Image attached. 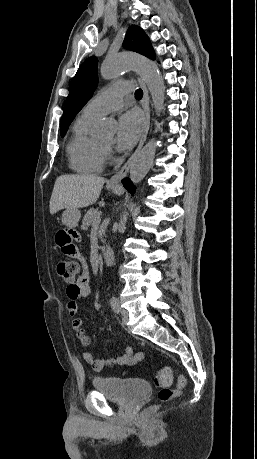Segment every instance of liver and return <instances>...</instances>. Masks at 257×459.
<instances>
[{"label":"liver","mask_w":257,"mask_h":459,"mask_svg":"<svg viewBox=\"0 0 257 459\" xmlns=\"http://www.w3.org/2000/svg\"><path fill=\"white\" fill-rule=\"evenodd\" d=\"M105 178L92 174L59 176L50 199V213L62 209H78L94 204L105 183Z\"/></svg>","instance_id":"obj_1"}]
</instances>
